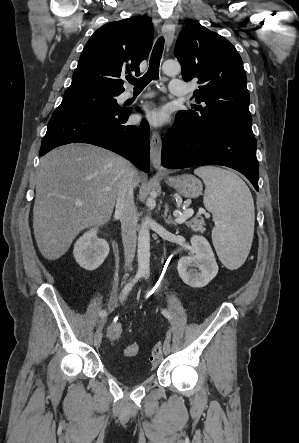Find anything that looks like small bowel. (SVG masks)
<instances>
[{"label": "small bowel", "instance_id": "c3829d8e", "mask_svg": "<svg viewBox=\"0 0 299 443\" xmlns=\"http://www.w3.org/2000/svg\"><path fill=\"white\" fill-rule=\"evenodd\" d=\"M116 307V299L112 298L108 307V312L111 313Z\"/></svg>", "mask_w": 299, "mask_h": 443}]
</instances>
